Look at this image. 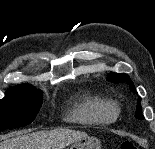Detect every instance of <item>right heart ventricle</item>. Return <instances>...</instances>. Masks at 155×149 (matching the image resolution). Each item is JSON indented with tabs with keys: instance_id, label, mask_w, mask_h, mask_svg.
<instances>
[{
	"instance_id": "right-heart-ventricle-1",
	"label": "right heart ventricle",
	"mask_w": 155,
	"mask_h": 149,
	"mask_svg": "<svg viewBox=\"0 0 155 149\" xmlns=\"http://www.w3.org/2000/svg\"><path fill=\"white\" fill-rule=\"evenodd\" d=\"M68 120L83 125L105 126L116 120L107 100L89 92H82L68 112Z\"/></svg>"
}]
</instances>
